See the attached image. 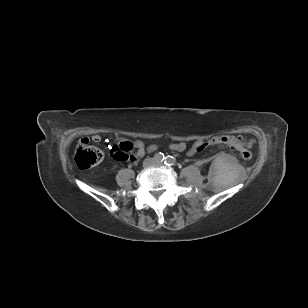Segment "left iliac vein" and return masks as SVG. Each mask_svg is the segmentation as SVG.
Listing matches in <instances>:
<instances>
[{
  "label": "left iliac vein",
  "instance_id": "obj_1",
  "mask_svg": "<svg viewBox=\"0 0 308 308\" xmlns=\"http://www.w3.org/2000/svg\"><path fill=\"white\" fill-rule=\"evenodd\" d=\"M154 165H160V162H154Z\"/></svg>",
  "mask_w": 308,
  "mask_h": 308
}]
</instances>
